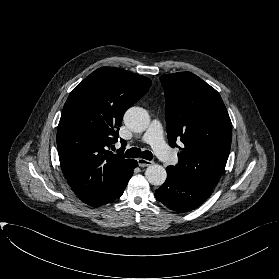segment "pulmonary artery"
Here are the masks:
<instances>
[{"label":"pulmonary artery","instance_id":"pulmonary-artery-1","mask_svg":"<svg viewBox=\"0 0 279 279\" xmlns=\"http://www.w3.org/2000/svg\"><path fill=\"white\" fill-rule=\"evenodd\" d=\"M142 140L153 148L161 160L168 164H174L177 161V157L171 152L163 139L162 125L157 119L152 121Z\"/></svg>","mask_w":279,"mask_h":279}]
</instances>
